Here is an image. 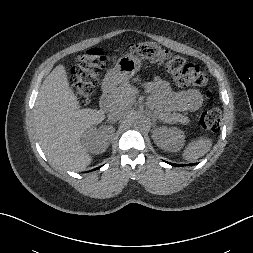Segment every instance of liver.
<instances>
[{
	"mask_svg": "<svg viewBox=\"0 0 253 253\" xmlns=\"http://www.w3.org/2000/svg\"><path fill=\"white\" fill-rule=\"evenodd\" d=\"M137 93L136 87L128 85L126 100L121 104L130 106ZM104 118V110L80 108L61 64L43 81L33 110V125L47 159L73 171L83 170L91 163L92 157L81 138Z\"/></svg>",
	"mask_w": 253,
	"mask_h": 253,
	"instance_id": "6515ba94",
	"label": "liver"
}]
</instances>
